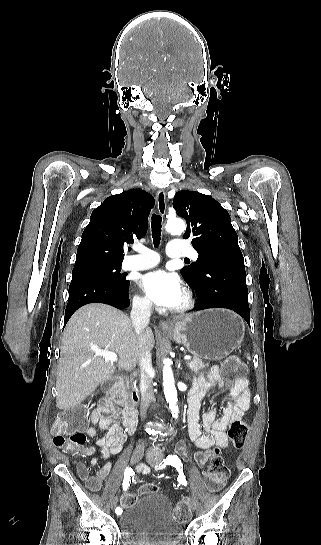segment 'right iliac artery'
Segmentation results:
<instances>
[{
	"label": "right iliac artery",
	"mask_w": 321,
	"mask_h": 545,
	"mask_svg": "<svg viewBox=\"0 0 321 545\" xmlns=\"http://www.w3.org/2000/svg\"><path fill=\"white\" fill-rule=\"evenodd\" d=\"M133 474V470L131 467H127L124 472V480L122 483L123 490H127L131 483V475ZM116 514H120L122 510L118 507L115 510Z\"/></svg>",
	"instance_id": "right-iliac-artery-1"
}]
</instances>
